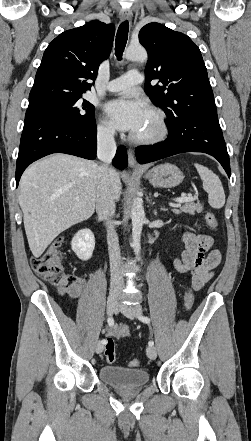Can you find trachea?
I'll return each instance as SVG.
<instances>
[{"label": "trachea", "mask_w": 251, "mask_h": 441, "mask_svg": "<svg viewBox=\"0 0 251 441\" xmlns=\"http://www.w3.org/2000/svg\"><path fill=\"white\" fill-rule=\"evenodd\" d=\"M128 30H129V23L128 21H124L120 24L117 31L116 42H115V55L118 60H121L122 58V54L124 52L128 39Z\"/></svg>", "instance_id": "obj_1"}]
</instances>
